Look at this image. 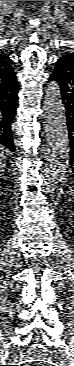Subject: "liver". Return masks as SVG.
<instances>
[{"mask_svg":"<svg viewBox=\"0 0 74 366\" xmlns=\"http://www.w3.org/2000/svg\"><path fill=\"white\" fill-rule=\"evenodd\" d=\"M9 154H10V151L7 148H5L4 146L0 147V160H1V162H4L8 158Z\"/></svg>","mask_w":74,"mask_h":366,"instance_id":"1","label":"liver"}]
</instances>
